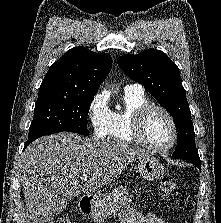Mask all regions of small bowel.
Instances as JSON below:
<instances>
[{
	"mask_svg": "<svg viewBox=\"0 0 221 223\" xmlns=\"http://www.w3.org/2000/svg\"><path fill=\"white\" fill-rule=\"evenodd\" d=\"M122 223H165L153 212L143 214L135 208H128L121 214Z\"/></svg>",
	"mask_w": 221,
	"mask_h": 223,
	"instance_id": "small-bowel-1",
	"label": "small bowel"
}]
</instances>
